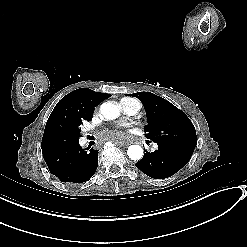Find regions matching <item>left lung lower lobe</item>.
Listing matches in <instances>:
<instances>
[{
    "label": "left lung lower lobe",
    "mask_w": 247,
    "mask_h": 247,
    "mask_svg": "<svg viewBox=\"0 0 247 247\" xmlns=\"http://www.w3.org/2000/svg\"><path fill=\"white\" fill-rule=\"evenodd\" d=\"M158 149L146 152L135 165L143 173L154 179H164L177 173L190 160L193 152L172 145L157 144Z\"/></svg>",
    "instance_id": "1"
}]
</instances>
